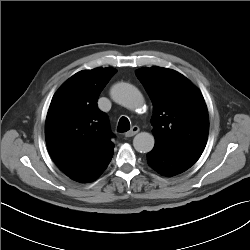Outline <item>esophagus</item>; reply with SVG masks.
<instances>
[{"mask_svg": "<svg viewBox=\"0 0 250 250\" xmlns=\"http://www.w3.org/2000/svg\"><path fill=\"white\" fill-rule=\"evenodd\" d=\"M139 127L138 126H133L128 132L125 133L126 137H133L139 132Z\"/></svg>", "mask_w": 250, "mask_h": 250, "instance_id": "1", "label": "esophagus"}]
</instances>
